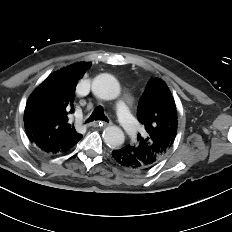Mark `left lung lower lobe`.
Listing matches in <instances>:
<instances>
[{
  "instance_id": "0a47b994",
  "label": "left lung lower lobe",
  "mask_w": 232,
  "mask_h": 232,
  "mask_svg": "<svg viewBox=\"0 0 232 232\" xmlns=\"http://www.w3.org/2000/svg\"><path fill=\"white\" fill-rule=\"evenodd\" d=\"M112 158L117 165L126 170L134 172L146 170L134 155L129 145L113 150Z\"/></svg>"
}]
</instances>
